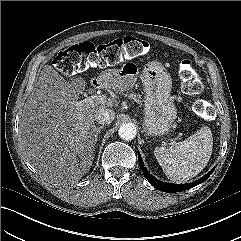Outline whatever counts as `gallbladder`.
Listing matches in <instances>:
<instances>
[{"instance_id": "bac80fb5", "label": "gallbladder", "mask_w": 241, "mask_h": 241, "mask_svg": "<svg viewBox=\"0 0 241 241\" xmlns=\"http://www.w3.org/2000/svg\"><path fill=\"white\" fill-rule=\"evenodd\" d=\"M73 81L76 83L77 86V90L78 91H82L85 88V81L83 80V78L79 77V78H75L73 79Z\"/></svg>"}]
</instances>
